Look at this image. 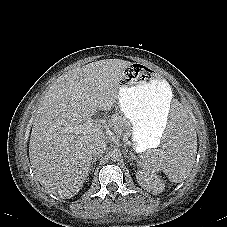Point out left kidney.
<instances>
[{
    "mask_svg": "<svg viewBox=\"0 0 227 227\" xmlns=\"http://www.w3.org/2000/svg\"><path fill=\"white\" fill-rule=\"evenodd\" d=\"M136 178L140 186L147 192L157 195L164 191L165 183L156 174L147 175L138 171Z\"/></svg>",
    "mask_w": 227,
    "mask_h": 227,
    "instance_id": "left-kidney-1",
    "label": "left kidney"
}]
</instances>
